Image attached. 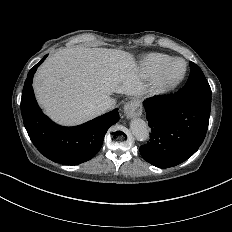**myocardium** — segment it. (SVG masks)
<instances>
[{"mask_svg": "<svg viewBox=\"0 0 232 232\" xmlns=\"http://www.w3.org/2000/svg\"><path fill=\"white\" fill-rule=\"evenodd\" d=\"M178 62H182L184 64V70L179 76H171V70ZM187 70L188 65L185 60L177 58L172 59L166 66L149 79L143 91L144 98L155 102L164 99L184 80Z\"/></svg>", "mask_w": 232, "mask_h": 232, "instance_id": "obj_1", "label": "myocardium"}]
</instances>
